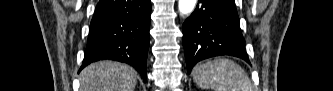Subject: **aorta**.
<instances>
[{"label": "aorta", "mask_w": 333, "mask_h": 91, "mask_svg": "<svg viewBox=\"0 0 333 91\" xmlns=\"http://www.w3.org/2000/svg\"><path fill=\"white\" fill-rule=\"evenodd\" d=\"M196 3L197 0H179L178 8L180 14L182 15L190 14L194 10Z\"/></svg>", "instance_id": "obj_1"}]
</instances>
